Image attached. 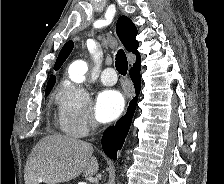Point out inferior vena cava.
<instances>
[{
  "label": "inferior vena cava",
  "instance_id": "1",
  "mask_svg": "<svg viewBox=\"0 0 224 184\" xmlns=\"http://www.w3.org/2000/svg\"><path fill=\"white\" fill-rule=\"evenodd\" d=\"M90 127H91V130H92V131H94V130L96 129V127H97V122H96L94 119H92V120L90 121Z\"/></svg>",
  "mask_w": 224,
  "mask_h": 184
}]
</instances>
